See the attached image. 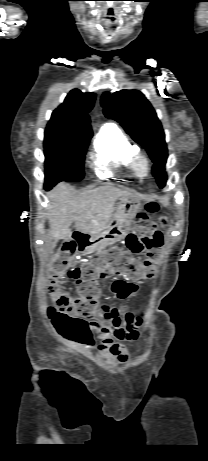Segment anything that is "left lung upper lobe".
Masks as SVG:
<instances>
[{"instance_id":"left-lung-upper-lobe-1","label":"left lung upper lobe","mask_w":208,"mask_h":461,"mask_svg":"<svg viewBox=\"0 0 208 461\" xmlns=\"http://www.w3.org/2000/svg\"><path fill=\"white\" fill-rule=\"evenodd\" d=\"M107 118L118 121L142 145L154 162L152 172L160 188L166 183L167 147L162 125L150 102L137 90L104 92L101 99Z\"/></svg>"}]
</instances>
